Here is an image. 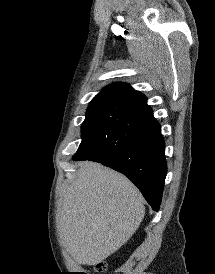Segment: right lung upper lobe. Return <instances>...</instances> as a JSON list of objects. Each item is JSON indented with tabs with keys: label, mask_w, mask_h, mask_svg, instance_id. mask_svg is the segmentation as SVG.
I'll list each match as a JSON object with an SVG mask.
<instances>
[{
	"label": "right lung upper lobe",
	"mask_w": 215,
	"mask_h": 274,
	"mask_svg": "<svg viewBox=\"0 0 215 274\" xmlns=\"http://www.w3.org/2000/svg\"><path fill=\"white\" fill-rule=\"evenodd\" d=\"M91 102H114L130 108L152 113L146 97L126 83H112L97 94Z\"/></svg>",
	"instance_id": "cb5924a9"
}]
</instances>
